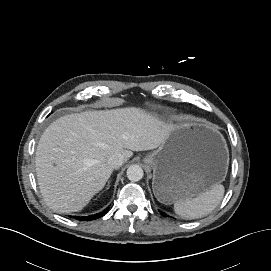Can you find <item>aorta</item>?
Listing matches in <instances>:
<instances>
[{"instance_id": "obj_1", "label": "aorta", "mask_w": 271, "mask_h": 271, "mask_svg": "<svg viewBox=\"0 0 271 271\" xmlns=\"http://www.w3.org/2000/svg\"><path fill=\"white\" fill-rule=\"evenodd\" d=\"M144 172L141 166L137 164L130 165L127 169V178L130 181L136 182L143 178Z\"/></svg>"}]
</instances>
